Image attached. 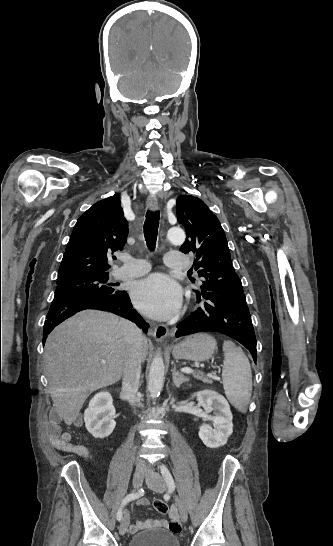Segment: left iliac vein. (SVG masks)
I'll list each match as a JSON object with an SVG mask.
<instances>
[{"mask_svg":"<svg viewBox=\"0 0 333 546\" xmlns=\"http://www.w3.org/2000/svg\"><path fill=\"white\" fill-rule=\"evenodd\" d=\"M146 484L148 487L158 493H162L166 490V483L164 479L156 472H152L146 477ZM177 502L180 519L185 523L188 519V512L185 504L175 495Z\"/></svg>","mask_w":333,"mask_h":546,"instance_id":"4c4485c4","label":"left iliac vein"}]
</instances>
